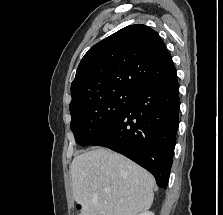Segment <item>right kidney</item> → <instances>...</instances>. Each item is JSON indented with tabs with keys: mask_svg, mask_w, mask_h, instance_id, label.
Returning <instances> with one entry per match:
<instances>
[{
	"mask_svg": "<svg viewBox=\"0 0 223 215\" xmlns=\"http://www.w3.org/2000/svg\"><path fill=\"white\" fill-rule=\"evenodd\" d=\"M138 215H155V213L153 211H141Z\"/></svg>",
	"mask_w": 223,
	"mask_h": 215,
	"instance_id": "right-kidney-1",
	"label": "right kidney"
}]
</instances>
